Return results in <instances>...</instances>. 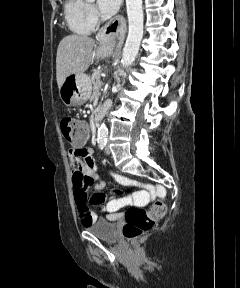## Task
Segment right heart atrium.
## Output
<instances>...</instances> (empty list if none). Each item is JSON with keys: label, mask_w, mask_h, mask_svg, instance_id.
<instances>
[{"label": "right heart atrium", "mask_w": 240, "mask_h": 288, "mask_svg": "<svg viewBox=\"0 0 240 288\" xmlns=\"http://www.w3.org/2000/svg\"><path fill=\"white\" fill-rule=\"evenodd\" d=\"M89 13H90V15H91V17L95 20V19H97V17H98V14H97V10H96V8L93 6V5H89Z\"/></svg>", "instance_id": "1"}]
</instances>
